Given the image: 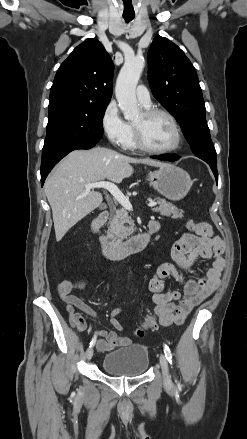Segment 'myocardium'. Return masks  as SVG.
I'll return each mask as SVG.
<instances>
[{
	"mask_svg": "<svg viewBox=\"0 0 247 439\" xmlns=\"http://www.w3.org/2000/svg\"><path fill=\"white\" fill-rule=\"evenodd\" d=\"M158 115L165 116L171 121V123L174 127V130H175V135H176L175 142L173 143V145L168 147V148H164V149H156V148L150 147L149 145H147V143L144 140V136H143L141 128L134 124L133 130H134L136 145L142 151H145V152L151 153V154L172 153V152L176 151L177 149H179V147L181 146V143L183 140V133H182L181 126H180L178 120L176 119V117L167 110L160 109V108H153V109H147L143 112V116L145 117V119H150V118H152L154 116H158Z\"/></svg>",
	"mask_w": 247,
	"mask_h": 439,
	"instance_id": "1",
	"label": "myocardium"
}]
</instances>
